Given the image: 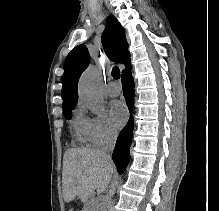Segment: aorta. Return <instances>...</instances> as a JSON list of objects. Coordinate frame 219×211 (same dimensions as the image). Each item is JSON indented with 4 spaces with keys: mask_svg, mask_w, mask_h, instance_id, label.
Returning a JSON list of instances; mask_svg holds the SVG:
<instances>
[{
    "mask_svg": "<svg viewBox=\"0 0 219 211\" xmlns=\"http://www.w3.org/2000/svg\"><path fill=\"white\" fill-rule=\"evenodd\" d=\"M78 92L80 98L92 111L99 112L102 110L103 94L98 83V72L93 66L87 68L81 75ZM111 203V195L105 196L98 206V211H109Z\"/></svg>",
    "mask_w": 219,
    "mask_h": 211,
    "instance_id": "obj_1",
    "label": "aorta"
}]
</instances>
